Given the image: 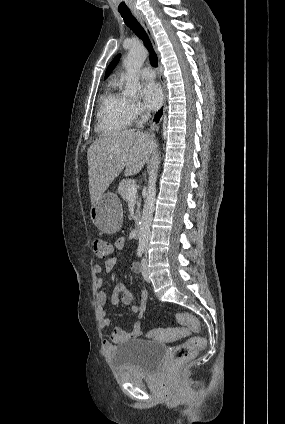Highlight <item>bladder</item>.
Returning a JSON list of instances; mask_svg holds the SVG:
<instances>
[{"label":"bladder","instance_id":"obj_1","mask_svg":"<svg viewBox=\"0 0 285 424\" xmlns=\"http://www.w3.org/2000/svg\"><path fill=\"white\" fill-rule=\"evenodd\" d=\"M165 344L145 339H131L118 345L111 363L131 373H151L166 354Z\"/></svg>","mask_w":285,"mask_h":424}]
</instances>
